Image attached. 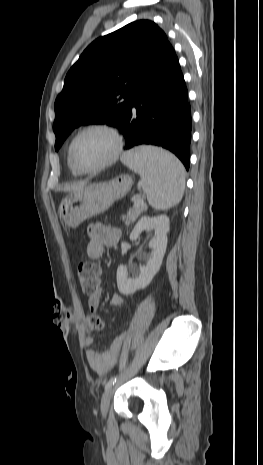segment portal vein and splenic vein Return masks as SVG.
<instances>
[{
    "label": "portal vein and splenic vein",
    "mask_w": 263,
    "mask_h": 465,
    "mask_svg": "<svg viewBox=\"0 0 263 465\" xmlns=\"http://www.w3.org/2000/svg\"><path fill=\"white\" fill-rule=\"evenodd\" d=\"M141 203H143V201L139 197H137L136 200H135L134 205L139 206Z\"/></svg>",
    "instance_id": "1"
}]
</instances>
